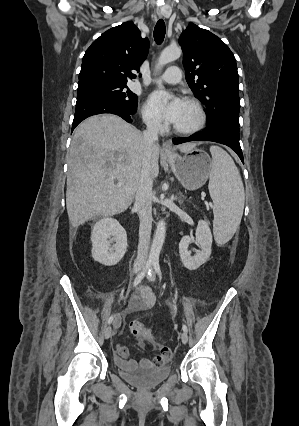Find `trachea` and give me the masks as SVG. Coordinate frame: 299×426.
I'll use <instances>...</instances> for the list:
<instances>
[{"label":"trachea","instance_id":"1","mask_svg":"<svg viewBox=\"0 0 299 426\" xmlns=\"http://www.w3.org/2000/svg\"><path fill=\"white\" fill-rule=\"evenodd\" d=\"M165 31H166L165 22L162 19H160L156 23V26L154 28V39L157 44H161L163 42L165 37Z\"/></svg>","mask_w":299,"mask_h":426}]
</instances>
